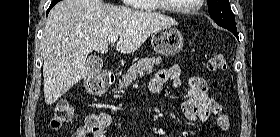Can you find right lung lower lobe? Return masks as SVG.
Segmentation results:
<instances>
[{"label":"right lung lower lobe","mask_w":280,"mask_h":137,"mask_svg":"<svg viewBox=\"0 0 280 137\" xmlns=\"http://www.w3.org/2000/svg\"><path fill=\"white\" fill-rule=\"evenodd\" d=\"M60 0H53L52 2H51V5H50V7L48 8V10H47V14L49 13V11L51 10V8L56 4V3H58Z\"/></svg>","instance_id":"98d812e1"}]
</instances>
